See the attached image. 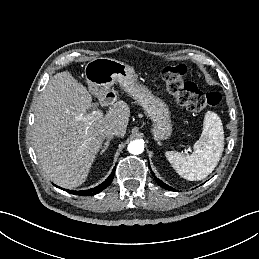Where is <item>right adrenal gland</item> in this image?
<instances>
[{
	"instance_id": "2a0ac1e0",
	"label": "right adrenal gland",
	"mask_w": 259,
	"mask_h": 259,
	"mask_svg": "<svg viewBox=\"0 0 259 259\" xmlns=\"http://www.w3.org/2000/svg\"><path fill=\"white\" fill-rule=\"evenodd\" d=\"M112 138H113V137H108V138L106 139V142L104 143V146H103V148H102L101 151H100V155L104 154V152L107 150V148H108V146H109V143H110V141L112 140Z\"/></svg>"
}]
</instances>
